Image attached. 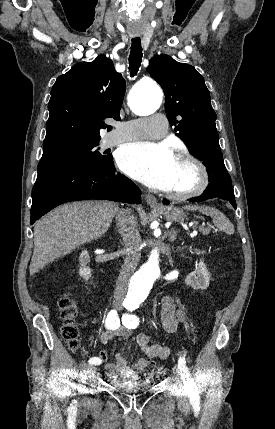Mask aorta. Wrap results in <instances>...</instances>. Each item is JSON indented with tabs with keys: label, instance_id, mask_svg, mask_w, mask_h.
I'll list each match as a JSON object with an SVG mask.
<instances>
[{
	"label": "aorta",
	"instance_id": "762f6f07",
	"mask_svg": "<svg viewBox=\"0 0 275 429\" xmlns=\"http://www.w3.org/2000/svg\"><path fill=\"white\" fill-rule=\"evenodd\" d=\"M162 98V90L156 83H138L130 92L129 105L135 114L145 116L160 107ZM159 271V251L153 249L148 261L131 278L129 300L132 304H138L148 295Z\"/></svg>",
	"mask_w": 275,
	"mask_h": 429
}]
</instances>
